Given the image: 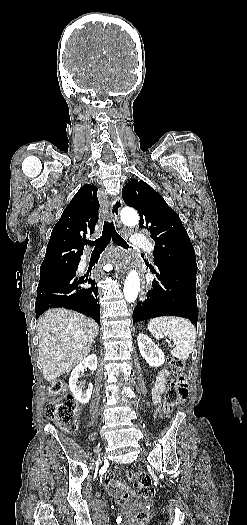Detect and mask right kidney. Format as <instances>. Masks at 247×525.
<instances>
[{
    "label": "right kidney",
    "mask_w": 247,
    "mask_h": 525,
    "mask_svg": "<svg viewBox=\"0 0 247 525\" xmlns=\"http://www.w3.org/2000/svg\"><path fill=\"white\" fill-rule=\"evenodd\" d=\"M97 365L98 361L96 355H89V357H86L82 363H79V365H77V367H75L71 373V377L69 379L70 391L73 393L74 399H76L78 403H81V405H86V403H89L90 397L92 395L93 385H88V389L83 391L82 387L78 385L80 373L81 371H84L86 367H88L90 371H96Z\"/></svg>",
    "instance_id": "ca27d5eb"
}]
</instances>
